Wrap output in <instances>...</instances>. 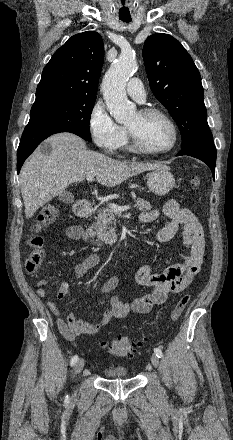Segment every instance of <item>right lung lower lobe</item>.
<instances>
[{
	"label": "right lung lower lobe",
	"mask_w": 233,
	"mask_h": 440,
	"mask_svg": "<svg viewBox=\"0 0 233 440\" xmlns=\"http://www.w3.org/2000/svg\"><path fill=\"white\" fill-rule=\"evenodd\" d=\"M60 132L76 134L71 130L62 128H34L26 126L17 151V172L19 173L25 159L35 150L37 145L50 135Z\"/></svg>",
	"instance_id": "obj_1"
}]
</instances>
